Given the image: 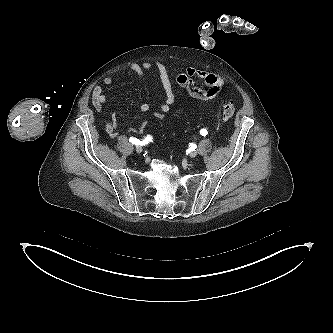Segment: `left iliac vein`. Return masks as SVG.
<instances>
[{"label": "left iliac vein", "instance_id": "4c4485c4", "mask_svg": "<svg viewBox=\"0 0 333 333\" xmlns=\"http://www.w3.org/2000/svg\"><path fill=\"white\" fill-rule=\"evenodd\" d=\"M197 156V151H191L190 153H189V157L190 158H194V157H196Z\"/></svg>", "mask_w": 333, "mask_h": 333}]
</instances>
